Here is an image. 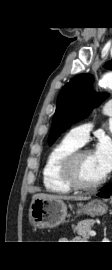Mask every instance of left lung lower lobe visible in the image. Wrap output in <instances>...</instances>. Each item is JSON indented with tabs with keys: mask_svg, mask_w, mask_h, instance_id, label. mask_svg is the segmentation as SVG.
I'll list each match as a JSON object with an SVG mask.
<instances>
[{
	"mask_svg": "<svg viewBox=\"0 0 112 270\" xmlns=\"http://www.w3.org/2000/svg\"><path fill=\"white\" fill-rule=\"evenodd\" d=\"M111 193H112V184H108L97 195L100 196V197H103V198H108Z\"/></svg>",
	"mask_w": 112,
	"mask_h": 270,
	"instance_id": "obj_1",
	"label": "left lung lower lobe"
}]
</instances>
